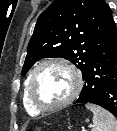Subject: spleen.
Masks as SVG:
<instances>
[{"label":"spleen","instance_id":"1","mask_svg":"<svg viewBox=\"0 0 117 131\" xmlns=\"http://www.w3.org/2000/svg\"><path fill=\"white\" fill-rule=\"evenodd\" d=\"M85 106L93 113L92 131H117V120L113 114L94 104L87 103Z\"/></svg>","mask_w":117,"mask_h":131}]
</instances>
